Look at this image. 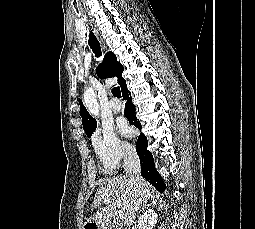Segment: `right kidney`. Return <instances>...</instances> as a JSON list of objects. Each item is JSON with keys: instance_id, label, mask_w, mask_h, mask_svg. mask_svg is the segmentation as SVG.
I'll list each match as a JSON object with an SVG mask.
<instances>
[{"instance_id": "1", "label": "right kidney", "mask_w": 255, "mask_h": 229, "mask_svg": "<svg viewBox=\"0 0 255 229\" xmlns=\"http://www.w3.org/2000/svg\"><path fill=\"white\" fill-rule=\"evenodd\" d=\"M158 215L153 209H149L138 220L139 229H153L157 223Z\"/></svg>"}]
</instances>
